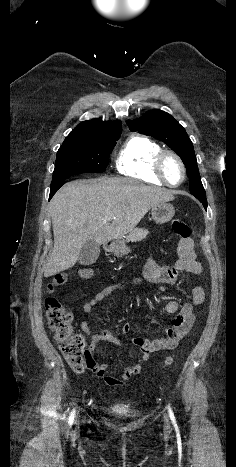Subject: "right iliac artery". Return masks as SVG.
Here are the masks:
<instances>
[{"label":"right iliac artery","mask_w":236,"mask_h":467,"mask_svg":"<svg viewBox=\"0 0 236 467\" xmlns=\"http://www.w3.org/2000/svg\"><path fill=\"white\" fill-rule=\"evenodd\" d=\"M76 410L75 408L71 411L70 417H69V423L72 424L75 418Z\"/></svg>","instance_id":"right-iliac-artery-1"}]
</instances>
